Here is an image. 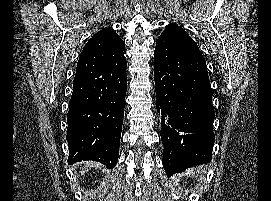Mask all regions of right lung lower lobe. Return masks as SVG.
Returning <instances> with one entry per match:
<instances>
[{
	"label": "right lung lower lobe",
	"mask_w": 271,
	"mask_h": 201,
	"mask_svg": "<svg viewBox=\"0 0 271 201\" xmlns=\"http://www.w3.org/2000/svg\"><path fill=\"white\" fill-rule=\"evenodd\" d=\"M125 45L96 33L77 63L67 115L68 163L93 160L108 169L118 161L127 87Z\"/></svg>",
	"instance_id": "1"
}]
</instances>
